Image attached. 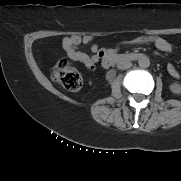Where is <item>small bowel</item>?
<instances>
[{
    "instance_id": "small-bowel-1",
    "label": "small bowel",
    "mask_w": 181,
    "mask_h": 181,
    "mask_svg": "<svg viewBox=\"0 0 181 181\" xmlns=\"http://www.w3.org/2000/svg\"><path fill=\"white\" fill-rule=\"evenodd\" d=\"M93 40V37L90 35L80 36V35H70L64 36L62 38V47L66 53V55L73 61L82 63L86 68L93 70L95 69L97 63L99 62L100 58L106 54L104 50L98 49L96 46L92 47V54L89 55L83 51H80L78 47L81 44H89ZM155 45L159 50L168 51L170 50L171 46L169 42L162 38L156 37L155 38ZM113 52L117 51V47L112 49ZM168 72L169 74L174 77H179V72L173 65H168Z\"/></svg>"
}]
</instances>
